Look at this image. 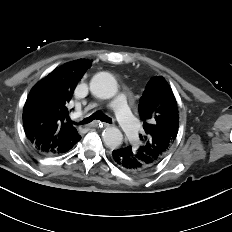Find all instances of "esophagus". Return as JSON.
<instances>
[{"mask_svg": "<svg viewBox=\"0 0 232 232\" xmlns=\"http://www.w3.org/2000/svg\"><path fill=\"white\" fill-rule=\"evenodd\" d=\"M90 126L91 127H110V124H108V123H105V122H97V121H95V122H92L91 124H90Z\"/></svg>", "mask_w": 232, "mask_h": 232, "instance_id": "1", "label": "esophagus"}]
</instances>
